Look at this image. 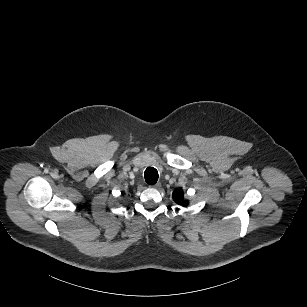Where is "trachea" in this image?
I'll return each mask as SVG.
<instances>
[{"mask_svg":"<svg viewBox=\"0 0 307 307\" xmlns=\"http://www.w3.org/2000/svg\"><path fill=\"white\" fill-rule=\"evenodd\" d=\"M158 177H159L158 172L153 167H148L144 172L145 181L149 185L155 184L158 180Z\"/></svg>","mask_w":307,"mask_h":307,"instance_id":"obj_1","label":"trachea"}]
</instances>
